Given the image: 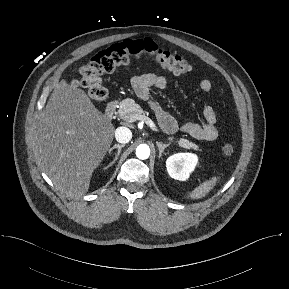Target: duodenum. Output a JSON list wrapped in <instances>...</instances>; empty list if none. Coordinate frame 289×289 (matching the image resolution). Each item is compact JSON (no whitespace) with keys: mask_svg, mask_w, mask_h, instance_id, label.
I'll return each instance as SVG.
<instances>
[{"mask_svg":"<svg viewBox=\"0 0 289 289\" xmlns=\"http://www.w3.org/2000/svg\"><path fill=\"white\" fill-rule=\"evenodd\" d=\"M117 110V102L116 101H111L107 104L106 109H105V116L108 120H111Z\"/></svg>","mask_w":289,"mask_h":289,"instance_id":"duodenum-1","label":"duodenum"}]
</instances>
